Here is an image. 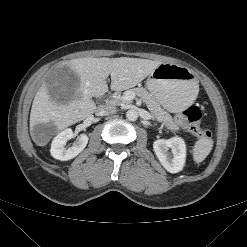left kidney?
I'll return each instance as SVG.
<instances>
[{
  "mask_svg": "<svg viewBox=\"0 0 247 247\" xmlns=\"http://www.w3.org/2000/svg\"><path fill=\"white\" fill-rule=\"evenodd\" d=\"M153 148L160 163L168 172L177 173L182 170L186 160V145L182 138L156 140Z\"/></svg>",
  "mask_w": 247,
  "mask_h": 247,
  "instance_id": "5707ae66",
  "label": "left kidney"
}]
</instances>
